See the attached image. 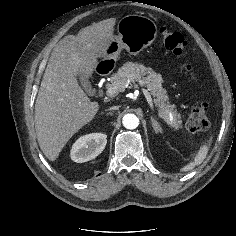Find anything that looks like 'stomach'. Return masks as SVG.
I'll return each instance as SVG.
<instances>
[{
	"label": "stomach",
	"mask_w": 236,
	"mask_h": 236,
	"mask_svg": "<svg viewBox=\"0 0 236 236\" xmlns=\"http://www.w3.org/2000/svg\"><path fill=\"white\" fill-rule=\"evenodd\" d=\"M117 32L108 43L102 62L114 64L123 49L130 55L139 54L156 39L157 27L145 16L127 15L118 22Z\"/></svg>",
	"instance_id": "0dacf381"
}]
</instances>
